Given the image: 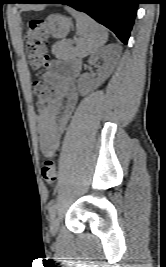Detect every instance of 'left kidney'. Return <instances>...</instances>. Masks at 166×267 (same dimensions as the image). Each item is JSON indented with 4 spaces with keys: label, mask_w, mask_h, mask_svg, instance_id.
<instances>
[{
    "label": "left kidney",
    "mask_w": 166,
    "mask_h": 267,
    "mask_svg": "<svg viewBox=\"0 0 166 267\" xmlns=\"http://www.w3.org/2000/svg\"><path fill=\"white\" fill-rule=\"evenodd\" d=\"M102 58L104 63L102 65H98V76L96 79L90 81L89 83L84 82L85 76H81L79 78V89L83 95L93 91L94 89L101 86L104 81L110 76L112 73V60L108 54V49H102L101 51H98L94 53L91 56V60L94 63L98 62V59Z\"/></svg>",
    "instance_id": "left-kidney-1"
}]
</instances>
